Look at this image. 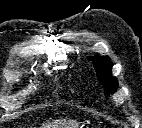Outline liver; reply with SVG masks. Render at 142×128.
<instances>
[{"instance_id": "1", "label": "liver", "mask_w": 142, "mask_h": 128, "mask_svg": "<svg viewBox=\"0 0 142 128\" xmlns=\"http://www.w3.org/2000/svg\"><path fill=\"white\" fill-rule=\"evenodd\" d=\"M44 126V125H43ZM48 127L45 128H76L77 127V123L73 120H61V121H57L54 125H46Z\"/></svg>"}]
</instances>
